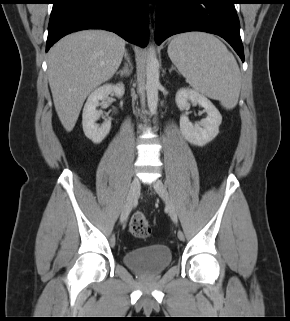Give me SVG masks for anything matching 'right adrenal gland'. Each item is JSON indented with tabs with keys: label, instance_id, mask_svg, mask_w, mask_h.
Wrapping results in <instances>:
<instances>
[{
	"label": "right adrenal gland",
	"instance_id": "1",
	"mask_svg": "<svg viewBox=\"0 0 290 321\" xmlns=\"http://www.w3.org/2000/svg\"><path fill=\"white\" fill-rule=\"evenodd\" d=\"M124 58L127 63H125L122 70H119L118 72H116V75H120V77H129V75L132 73L133 66L130 61V57L126 51L124 53Z\"/></svg>",
	"mask_w": 290,
	"mask_h": 321
}]
</instances>
